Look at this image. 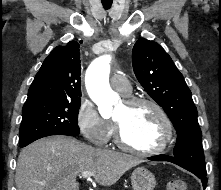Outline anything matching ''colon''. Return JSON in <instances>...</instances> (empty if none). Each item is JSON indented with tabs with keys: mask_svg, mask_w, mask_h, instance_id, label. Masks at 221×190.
Instances as JSON below:
<instances>
[{
	"mask_svg": "<svg viewBox=\"0 0 221 190\" xmlns=\"http://www.w3.org/2000/svg\"><path fill=\"white\" fill-rule=\"evenodd\" d=\"M167 190H187V184L181 179L173 180L169 182Z\"/></svg>",
	"mask_w": 221,
	"mask_h": 190,
	"instance_id": "obj_1",
	"label": "colon"
}]
</instances>
